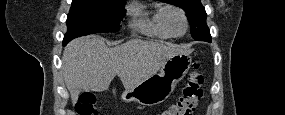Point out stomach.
I'll return each mask as SVG.
<instances>
[{"instance_id": "stomach-1", "label": "stomach", "mask_w": 285, "mask_h": 115, "mask_svg": "<svg viewBox=\"0 0 285 115\" xmlns=\"http://www.w3.org/2000/svg\"><path fill=\"white\" fill-rule=\"evenodd\" d=\"M191 57L187 53L177 54L162 65L160 72L143 80L121 96L124 102H136L143 106H155L164 102L174 91L178 82L187 74Z\"/></svg>"}]
</instances>
